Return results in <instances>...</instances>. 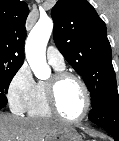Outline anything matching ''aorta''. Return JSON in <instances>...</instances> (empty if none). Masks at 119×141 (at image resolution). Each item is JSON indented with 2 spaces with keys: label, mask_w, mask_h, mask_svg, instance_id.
<instances>
[{
  "label": "aorta",
  "mask_w": 119,
  "mask_h": 141,
  "mask_svg": "<svg viewBox=\"0 0 119 141\" xmlns=\"http://www.w3.org/2000/svg\"><path fill=\"white\" fill-rule=\"evenodd\" d=\"M53 30L51 18H40L28 35L25 45L27 61L38 79L50 76V67L46 62V46Z\"/></svg>",
  "instance_id": "762f6f07"
}]
</instances>
